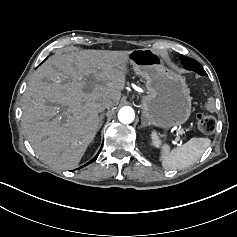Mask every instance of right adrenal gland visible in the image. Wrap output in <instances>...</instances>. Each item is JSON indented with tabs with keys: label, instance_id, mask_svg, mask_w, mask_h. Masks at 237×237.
Segmentation results:
<instances>
[{
	"label": "right adrenal gland",
	"instance_id": "1",
	"mask_svg": "<svg viewBox=\"0 0 237 237\" xmlns=\"http://www.w3.org/2000/svg\"><path fill=\"white\" fill-rule=\"evenodd\" d=\"M99 119H100V124H99L98 130H99V129L101 128V126H102L103 119H104V113H102V114L99 116Z\"/></svg>",
	"mask_w": 237,
	"mask_h": 237
}]
</instances>
